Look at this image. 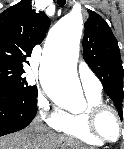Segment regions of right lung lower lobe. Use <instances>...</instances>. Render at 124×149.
<instances>
[{
  "label": "right lung lower lobe",
  "mask_w": 124,
  "mask_h": 149,
  "mask_svg": "<svg viewBox=\"0 0 124 149\" xmlns=\"http://www.w3.org/2000/svg\"><path fill=\"white\" fill-rule=\"evenodd\" d=\"M37 113L35 100L0 84V136L27 127Z\"/></svg>",
  "instance_id": "1"
}]
</instances>
